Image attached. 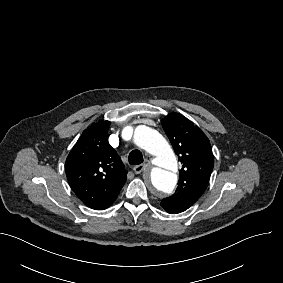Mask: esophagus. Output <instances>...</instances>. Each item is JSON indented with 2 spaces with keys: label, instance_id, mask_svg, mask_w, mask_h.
<instances>
[{
  "label": "esophagus",
  "instance_id": "34e87169",
  "mask_svg": "<svg viewBox=\"0 0 283 283\" xmlns=\"http://www.w3.org/2000/svg\"><path fill=\"white\" fill-rule=\"evenodd\" d=\"M146 167H147V164L143 163V164H139V165L135 166L133 168V170L136 174H140L143 170L146 169Z\"/></svg>",
  "mask_w": 283,
  "mask_h": 283
}]
</instances>
